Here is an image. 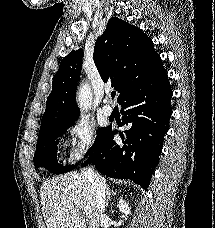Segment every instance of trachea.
Masks as SVG:
<instances>
[{
  "label": "trachea",
  "instance_id": "3493384b",
  "mask_svg": "<svg viewBox=\"0 0 215 228\" xmlns=\"http://www.w3.org/2000/svg\"><path fill=\"white\" fill-rule=\"evenodd\" d=\"M116 92H111L112 98H115Z\"/></svg>",
  "mask_w": 215,
  "mask_h": 228
}]
</instances>
